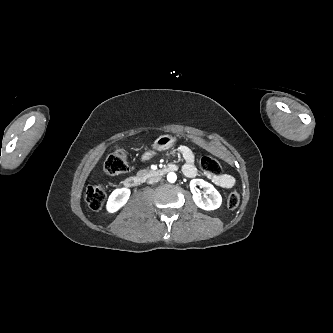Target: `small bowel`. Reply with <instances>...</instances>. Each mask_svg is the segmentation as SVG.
<instances>
[{
	"label": "small bowel",
	"mask_w": 333,
	"mask_h": 333,
	"mask_svg": "<svg viewBox=\"0 0 333 333\" xmlns=\"http://www.w3.org/2000/svg\"><path fill=\"white\" fill-rule=\"evenodd\" d=\"M179 152L184 159V165L182 167L183 173L187 177H195L197 175V169L195 166V156L193 151L185 145L179 147ZM154 153L152 151H147L142 155V161L146 162L153 157ZM206 177L216 186L223 189H230L235 184V179L233 176L221 173L218 175L206 174Z\"/></svg>",
	"instance_id": "small-bowel-1"
}]
</instances>
